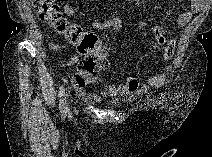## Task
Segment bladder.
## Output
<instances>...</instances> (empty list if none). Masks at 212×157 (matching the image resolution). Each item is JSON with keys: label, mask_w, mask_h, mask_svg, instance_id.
Segmentation results:
<instances>
[{"label": "bladder", "mask_w": 212, "mask_h": 157, "mask_svg": "<svg viewBox=\"0 0 212 157\" xmlns=\"http://www.w3.org/2000/svg\"><path fill=\"white\" fill-rule=\"evenodd\" d=\"M111 106H114V107H117L120 105V102H117V101H113L110 103Z\"/></svg>", "instance_id": "obj_1"}]
</instances>
